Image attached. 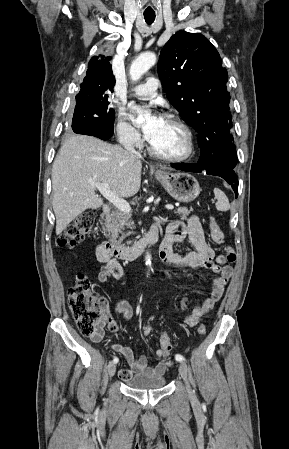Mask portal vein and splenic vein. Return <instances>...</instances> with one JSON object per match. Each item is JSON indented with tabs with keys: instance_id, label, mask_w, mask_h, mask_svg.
I'll use <instances>...</instances> for the list:
<instances>
[{
	"instance_id": "obj_1",
	"label": "portal vein and splenic vein",
	"mask_w": 289,
	"mask_h": 449,
	"mask_svg": "<svg viewBox=\"0 0 289 449\" xmlns=\"http://www.w3.org/2000/svg\"><path fill=\"white\" fill-rule=\"evenodd\" d=\"M93 187L97 188L99 192L109 201L111 202L116 208H118L120 211L129 213L131 211V207L129 203L124 200L123 198L117 196L114 194L111 190L108 184L106 183H91ZM166 208L169 210H172L174 206L172 204H167Z\"/></svg>"
}]
</instances>
